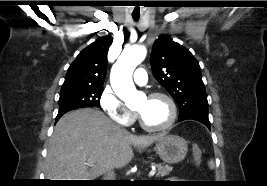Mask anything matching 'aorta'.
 Masks as SVG:
<instances>
[{
    "label": "aorta",
    "instance_id": "762f6f07",
    "mask_svg": "<svg viewBox=\"0 0 267 186\" xmlns=\"http://www.w3.org/2000/svg\"><path fill=\"white\" fill-rule=\"evenodd\" d=\"M146 54V48L143 46L125 49L111 69V86L127 105L134 104L139 99L140 93L135 88L132 74L137 65L145 59Z\"/></svg>",
    "mask_w": 267,
    "mask_h": 186
}]
</instances>
